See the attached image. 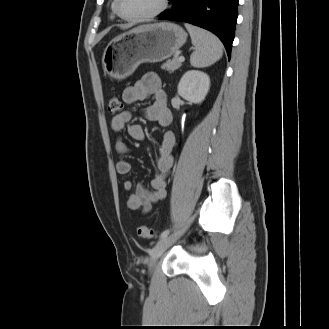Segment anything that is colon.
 <instances>
[{"label":"colon","mask_w":329,"mask_h":329,"mask_svg":"<svg viewBox=\"0 0 329 329\" xmlns=\"http://www.w3.org/2000/svg\"><path fill=\"white\" fill-rule=\"evenodd\" d=\"M122 102L120 100V98L116 95H112L109 97L108 99V110L111 114H117L121 111L122 109ZM136 233L139 237L141 238H147V239H151L154 238L157 234L156 232L145 226V225H140L136 228Z\"/></svg>","instance_id":"1"}]
</instances>
